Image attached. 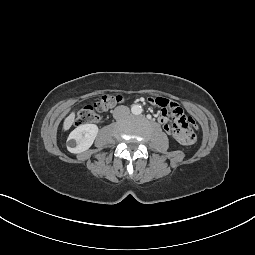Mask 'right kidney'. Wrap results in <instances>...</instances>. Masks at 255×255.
<instances>
[{"label": "right kidney", "instance_id": "ca27d5eb", "mask_svg": "<svg viewBox=\"0 0 255 255\" xmlns=\"http://www.w3.org/2000/svg\"><path fill=\"white\" fill-rule=\"evenodd\" d=\"M98 130L95 124H84L75 128L67 139L68 151L77 154L88 150L92 146Z\"/></svg>", "mask_w": 255, "mask_h": 255}]
</instances>
